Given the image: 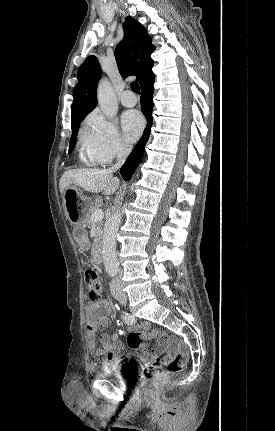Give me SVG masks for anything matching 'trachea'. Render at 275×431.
<instances>
[{
    "instance_id": "1",
    "label": "trachea",
    "mask_w": 275,
    "mask_h": 431,
    "mask_svg": "<svg viewBox=\"0 0 275 431\" xmlns=\"http://www.w3.org/2000/svg\"><path fill=\"white\" fill-rule=\"evenodd\" d=\"M131 90L137 94H140V87H139L138 82L134 81L131 83Z\"/></svg>"
}]
</instances>
